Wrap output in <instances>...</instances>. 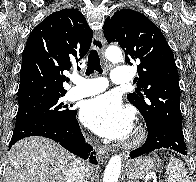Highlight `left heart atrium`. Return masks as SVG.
Returning <instances> with one entry per match:
<instances>
[{"instance_id": "obj_1", "label": "left heart atrium", "mask_w": 196, "mask_h": 182, "mask_svg": "<svg viewBox=\"0 0 196 182\" xmlns=\"http://www.w3.org/2000/svg\"><path fill=\"white\" fill-rule=\"evenodd\" d=\"M81 121L96 134L109 139L125 138L133 126V114L118 96L105 93L84 102Z\"/></svg>"}]
</instances>
